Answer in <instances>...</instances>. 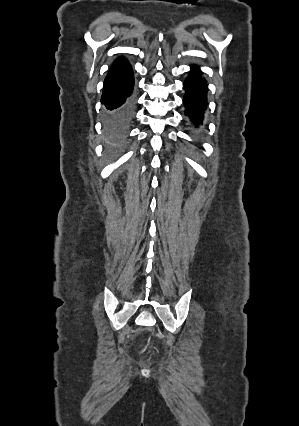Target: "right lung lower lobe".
<instances>
[{"instance_id": "98d812e1", "label": "right lung lower lobe", "mask_w": 299, "mask_h": 426, "mask_svg": "<svg viewBox=\"0 0 299 426\" xmlns=\"http://www.w3.org/2000/svg\"><path fill=\"white\" fill-rule=\"evenodd\" d=\"M133 86L134 76L129 62L118 57L105 78L101 97L105 126L114 135L124 134L133 120Z\"/></svg>"}]
</instances>
